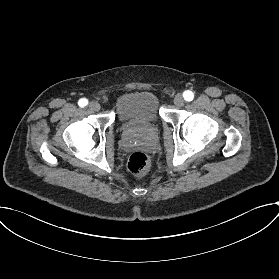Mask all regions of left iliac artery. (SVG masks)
<instances>
[{
  "mask_svg": "<svg viewBox=\"0 0 279 279\" xmlns=\"http://www.w3.org/2000/svg\"><path fill=\"white\" fill-rule=\"evenodd\" d=\"M183 97L186 101H192L194 98V93L190 90H187L183 93Z\"/></svg>",
  "mask_w": 279,
  "mask_h": 279,
  "instance_id": "1",
  "label": "left iliac artery"
}]
</instances>
